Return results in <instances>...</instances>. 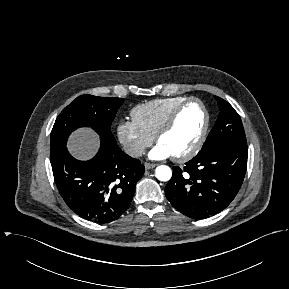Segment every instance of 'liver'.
I'll return each mask as SVG.
<instances>
[{
	"label": "liver",
	"mask_w": 289,
	"mask_h": 289,
	"mask_svg": "<svg viewBox=\"0 0 289 289\" xmlns=\"http://www.w3.org/2000/svg\"><path fill=\"white\" fill-rule=\"evenodd\" d=\"M99 146L97 134L90 128L76 130L70 136L67 144L69 152L77 159L91 158Z\"/></svg>",
	"instance_id": "obj_1"
}]
</instances>
